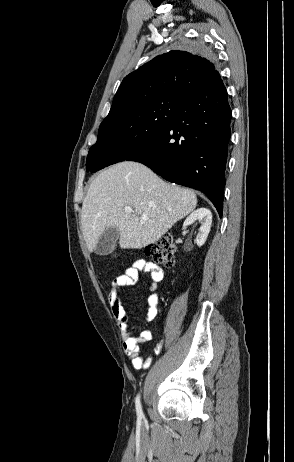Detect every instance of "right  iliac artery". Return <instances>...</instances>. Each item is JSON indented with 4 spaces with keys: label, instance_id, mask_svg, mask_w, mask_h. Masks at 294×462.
Segmentation results:
<instances>
[{
    "label": "right iliac artery",
    "instance_id": "1",
    "mask_svg": "<svg viewBox=\"0 0 294 462\" xmlns=\"http://www.w3.org/2000/svg\"><path fill=\"white\" fill-rule=\"evenodd\" d=\"M135 405H136V412H137L138 418H142L144 415H143L142 408H141L140 395L139 394L136 397Z\"/></svg>",
    "mask_w": 294,
    "mask_h": 462
}]
</instances>
